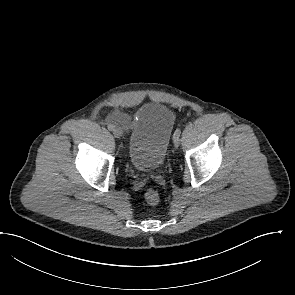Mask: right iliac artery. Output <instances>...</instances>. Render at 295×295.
<instances>
[{
    "mask_svg": "<svg viewBox=\"0 0 295 295\" xmlns=\"http://www.w3.org/2000/svg\"><path fill=\"white\" fill-rule=\"evenodd\" d=\"M107 127H108V130H110V131L114 130V128H115V127H114L113 125H111V124H109Z\"/></svg>",
    "mask_w": 295,
    "mask_h": 295,
    "instance_id": "1",
    "label": "right iliac artery"
}]
</instances>
